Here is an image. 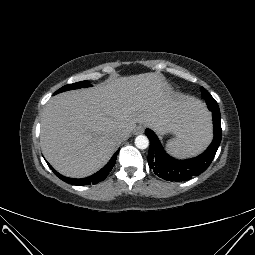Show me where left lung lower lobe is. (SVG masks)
<instances>
[{
  "label": "left lung lower lobe",
  "instance_id": "obj_1",
  "mask_svg": "<svg viewBox=\"0 0 255 255\" xmlns=\"http://www.w3.org/2000/svg\"><path fill=\"white\" fill-rule=\"evenodd\" d=\"M204 99L213 115L214 138L201 155L187 160L172 158L164 151L155 133L150 129H146L145 134L150 140L148 164L150 169H153L159 177L176 182L189 180L193 176H198L204 172L212 162L221 142V117L218 104L214 98L207 96Z\"/></svg>",
  "mask_w": 255,
  "mask_h": 255
}]
</instances>
